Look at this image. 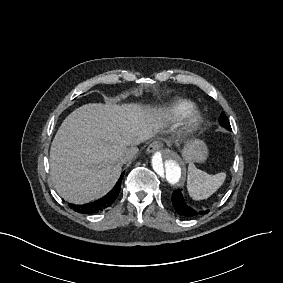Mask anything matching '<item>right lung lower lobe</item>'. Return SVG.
Returning a JSON list of instances; mask_svg holds the SVG:
<instances>
[{"mask_svg":"<svg viewBox=\"0 0 283 283\" xmlns=\"http://www.w3.org/2000/svg\"><path fill=\"white\" fill-rule=\"evenodd\" d=\"M124 172L120 176L118 182L114 186V188L104 197H102L99 200H96L92 203L83 204V205H74L70 204V208H72L74 211L82 214H95L98 212H101L105 208L109 207L117 198L120 188H121V181L123 178Z\"/></svg>","mask_w":283,"mask_h":283,"instance_id":"right-lung-lower-lobe-1","label":"right lung lower lobe"}]
</instances>
